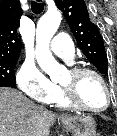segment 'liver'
Here are the masks:
<instances>
[{"label": "liver", "mask_w": 117, "mask_h": 136, "mask_svg": "<svg viewBox=\"0 0 117 136\" xmlns=\"http://www.w3.org/2000/svg\"><path fill=\"white\" fill-rule=\"evenodd\" d=\"M56 117L18 90L0 87V136H48Z\"/></svg>", "instance_id": "liver-1"}]
</instances>
